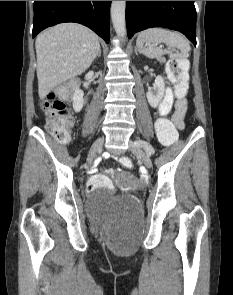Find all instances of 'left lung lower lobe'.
<instances>
[{
	"instance_id": "1",
	"label": "left lung lower lobe",
	"mask_w": 233,
	"mask_h": 295,
	"mask_svg": "<svg viewBox=\"0 0 233 295\" xmlns=\"http://www.w3.org/2000/svg\"><path fill=\"white\" fill-rule=\"evenodd\" d=\"M128 37L151 27L182 32L196 46L194 1H126Z\"/></svg>"
}]
</instances>
